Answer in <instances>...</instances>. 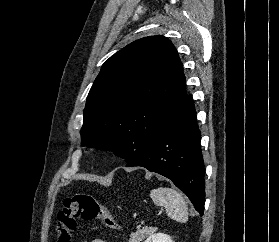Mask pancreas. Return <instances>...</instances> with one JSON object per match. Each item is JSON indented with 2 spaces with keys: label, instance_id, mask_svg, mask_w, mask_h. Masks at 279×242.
I'll use <instances>...</instances> for the list:
<instances>
[{
  "label": "pancreas",
  "instance_id": "pancreas-1",
  "mask_svg": "<svg viewBox=\"0 0 279 242\" xmlns=\"http://www.w3.org/2000/svg\"><path fill=\"white\" fill-rule=\"evenodd\" d=\"M150 233L151 230L148 228L140 229L130 235L129 242H141Z\"/></svg>",
  "mask_w": 279,
  "mask_h": 242
}]
</instances>
